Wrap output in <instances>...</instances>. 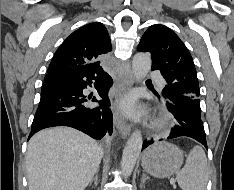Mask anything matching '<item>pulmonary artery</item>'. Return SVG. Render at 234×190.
I'll return each instance as SVG.
<instances>
[{"label":"pulmonary artery","instance_id":"pulmonary-artery-1","mask_svg":"<svg viewBox=\"0 0 234 190\" xmlns=\"http://www.w3.org/2000/svg\"><path fill=\"white\" fill-rule=\"evenodd\" d=\"M154 77H156L157 85H158L160 88L164 87L165 81H164L162 78L158 77V76H154Z\"/></svg>","mask_w":234,"mask_h":190}]
</instances>
